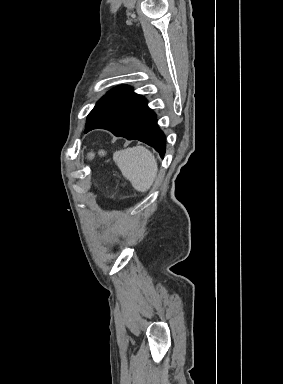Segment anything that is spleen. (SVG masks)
Segmentation results:
<instances>
[{
    "instance_id": "obj_1",
    "label": "spleen",
    "mask_w": 283,
    "mask_h": 384,
    "mask_svg": "<svg viewBox=\"0 0 283 384\" xmlns=\"http://www.w3.org/2000/svg\"><path fill=\"white\" fill-rule=\"evenodd\" d=\"M113 160L137 192H148L153 186L157 176V162L152 152L144 146L114 152Z\"/></svg>"
}]
</instances>
